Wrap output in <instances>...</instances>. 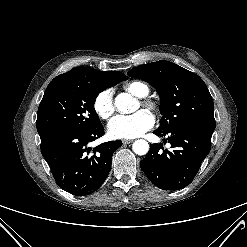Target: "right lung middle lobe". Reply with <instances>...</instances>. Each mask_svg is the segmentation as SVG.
<instances>
[{
  "mask_svg": "<svg viewBox=\"0 0 247 247\" xmlns=\"http://www.w3.org/2000/svg\"><path fill=\"white\" fill-rule=\"evenodd\" d=\"M101 81L68 78L49 84L38 108L40 138L66 130H91L101 125L94 109L98 94L110 88Z\"/></svg>",
  "mask_w": 247,
  "mask_h": 247,
  "instance_id": "right-lung-middle-lobe-1",
  "label": "right lung middle lobe"
}]
</instances>
